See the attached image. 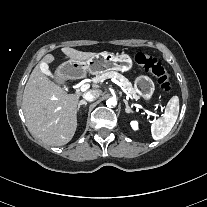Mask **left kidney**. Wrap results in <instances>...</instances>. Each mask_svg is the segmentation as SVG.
<instances>
[{
	"label": "left kidney",
	"instance_id": "obj_1",
	"mask_svg": "<svg viewBox=\"0 0 207 207\" xmlns=\"http://www.w3.org/2000/svg\"><path fill=\"white\" fill-rule=\"evenodd\" d=\"M130 125H131V127H132L133 130H137V129H138V123H137V122L132 121V122L130 123Z\"/></svg>",
	"mask_w": 207,
	"mask_h": 207
}]
</instances>
